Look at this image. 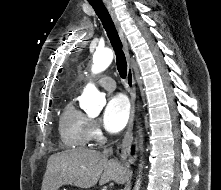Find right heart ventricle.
<instances>
[{"label":"right heart ventricle","mask_w":221,"mask_h":190,"mask_svg":"<svg viewBox=\"0 0 221 190\" xmlns=\"http://www.w3.org/2000/svg\"><path fill=\"white\" fill-rule=\"evenodd\" d=\"M89 118L70 99L63 108L59 120L62 143L69 149H81L90 141Z\"/></svg>","instance_id":"1"}]
</instances>
